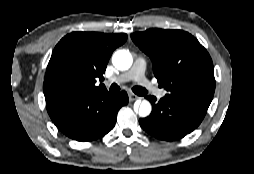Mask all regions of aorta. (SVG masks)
<instances>
[{"label":"aorta","instance_id":"1","mask_svg":"<svg viewBox=\"0 0 254 174\" xmlns=\"http://www.w3.org/2000/svg\"><path fill=\"white\" fill-rule=\"evenodd\" d=\"M112 63L118 70L125 71L131 67L133 63V58L128 51L119 50L114 53L112 57ZM151 110L152 107L150 102L147 100H143L138 107V114L140 117L144 118L150 115Z\"/></svg>","mask_w":254,"mask_h":174}]
</instances>
